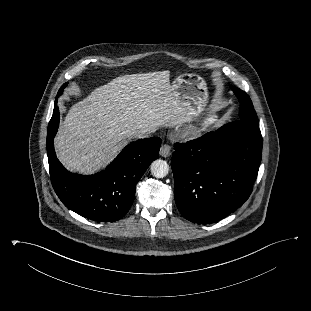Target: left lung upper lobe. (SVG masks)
I'll return each mask as SVG.
<instances>
[{
	"instance_id": "obj_1",
	"label": "left lung upper lobe",
	"mask_w": 311,
	"mask_h": 311,
	"mask_svg": "<svg viewBox=\"0 0 311 311\" xmlns=\"http://www.w3.org/2000/svg\"><path fill=\"white\" fill-rule=\"evenodd\" d=\"M240 101V118L243 121L249 122L258 126V117L253 108L252 101L246 92L236 87H231Z\"/></svg>"
}]
</instances>
